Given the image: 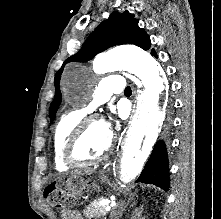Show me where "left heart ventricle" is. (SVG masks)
<instances>
[{
    "label": "left heart ventricle",
    "instance_id": "1",
    "mask_svg": "<svg viewBox=\"0 0 221 219\" xmlns=\"http://www.w3.org/2000/svg\"><path fill=\"white\" fill-rule=\"evenodd\" d=\"M109 144V132L101 122L91 123L84 131L76 154L81 160H91L101 155Z\"/></svg>",
    "mask_w": 221,
    "mask_h": 219
}]
</instances>
